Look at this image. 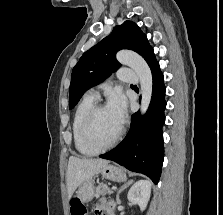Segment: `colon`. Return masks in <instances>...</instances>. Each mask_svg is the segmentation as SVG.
Returning <instances> with one entry per match:
<instances>
[{
	"instance_id": "colon-1",
	"label": "colon",
	"mask_w": 223,
	"mask_h": 215,
	"mask_svg": "<svg viewBox=\"0 0 223 215\" xmlns=\"http://www.w3.org/2000/svg\"><path fill=\"white\" fill-rule=\"evenodd\" d=\"M70 210L72 215H86L85 206L78 199L72 200Z\"/></svg>"
}]
</instances>
